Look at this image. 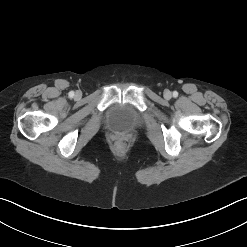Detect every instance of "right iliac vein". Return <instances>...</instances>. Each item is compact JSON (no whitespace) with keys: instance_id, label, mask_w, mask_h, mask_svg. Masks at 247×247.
I'll return each mask as SVG.
<instances>
[{"instance_id":"63e3f726","label":"right iliac vein","mask_w":247,"mask_h":247,"mask_svg":"<svg viewBox=\"0 0 247 247\" xmlns=\"http://www.w3.org/2000/svg\"><path fill=\"white\" fill-rule=\"evenodd\" d=\"M75 97L80 98V92H76Z\"/></svg>"}]
</instances>
